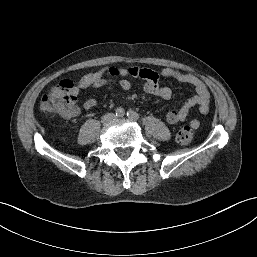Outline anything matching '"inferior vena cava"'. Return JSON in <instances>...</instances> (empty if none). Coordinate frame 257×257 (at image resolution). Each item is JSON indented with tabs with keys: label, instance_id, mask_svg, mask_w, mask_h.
Wrapping results in <instances>:
<instances>
[{
	"label": "inferior vena cava",
	"instance_id": "1",
	"mask_svg": "<svg viewBox=\"0 0 257 257\" xmlns=\"http://www.w3.org/2000/svg\"><path fill=\"white\" fill-rule=\"evenodd\" d=\"M114 118H115V115L113 113H108L102 117V122H109Z\"/></svg>",
	"mask_w": 257,
	"mask_h": 257
}]
</instances>
